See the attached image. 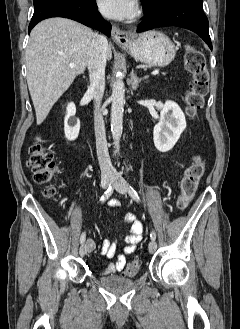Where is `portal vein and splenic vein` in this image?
Masks as SVG:
<instances>
[{"label": "portal vein and splenic vein", "instance_id": "portal-vein-and-splenic-vein-1", "mask_svg": "<svg viewBox=\"0 0 240 329\" xmlns=\"http://www.w3.org/2000/svg\"><path fill=\"white\" fill-rule=\"evenodd\" d=\"M69 66H70L71 68H74V67H75V64L70 63ZM159 72H160V70H159V69H156V70H154V71L151 73V75L156 76V75L159 74Z\"/></svg>", "mask_w": 240, "mask_h": 329}]
</instances>
